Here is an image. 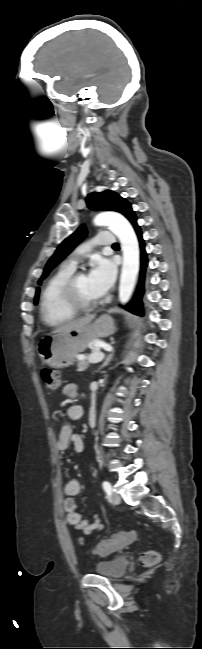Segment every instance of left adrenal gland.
<instances>
[{
	"label": "left adrenal gland",
	"instance_id": "obj_1",
	"mask_svg": "<svg viewBox=\"0 0 202 649\" xmlns=\"http://www.w3.org/2000/svg\"><path fill=\"white\" fill-rule=\"evenodd\" d=\"M113 356H114V352H111L110 354H108V355L106 356V358H105L103 364H102L101 367L99 368V370H100L101 368L106 367V366L111 362V360L113 359Z\"/></svg>",
	"mask_w": 202,
	"mask_h": 649
}]
</instances>
